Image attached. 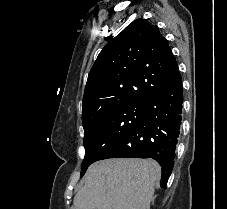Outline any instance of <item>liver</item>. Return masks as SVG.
<instances>
[{"mask_svg":"<svg viewBox=\"0 0 227 209\" xmlns=\"http://www.w3.org/2000/svg\"><path fill=\"white\" fill-rule=\"evenodd\" d=\"M160 167L151 159H106L87 169L74 209H150Z\"/></svg>","mask_w":227,"mask_h":209,"instance_id":"6515ba94","label":"liver"}]
</instances>
